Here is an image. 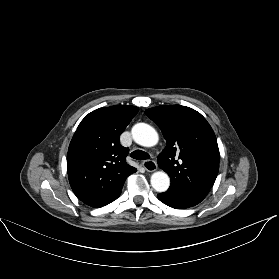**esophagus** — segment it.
Masks as SVG:
<instances>
[{
	"instance_id": "esophagus-1",
	"label": "esophagus",
	"mask_w": 279,
	"mask_h": 279,
	"mask_svg": "<svg viewBox=\"0 0 279 279\" xmlns=\"http://www.w3.org/2000/svg\"><path fill=\"white\" fill-rule=\"evenodd\" d=\"M143 167L145 168L146 171L148 172H154L157 170V164L153 160H145L143 162Z\"/></svg>"
}]
</instances>
